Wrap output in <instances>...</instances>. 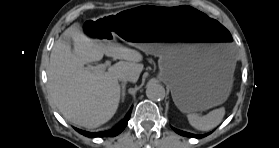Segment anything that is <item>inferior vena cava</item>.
Instances as JSON below:
<instances>
[{
    "instance_id": "obj_1",
    "label": "inferior vena cava",
    "mask_w": 279,
    "mask_h": 148,
    "mask_svg": "<svg viewBox=\"0 0 279 148\" xmlns=\"http://www.w3.org/2000/svg\"><path fill=\"white\" fill-rule=\"evenodd\" d=\"M119 80H120V81L126 82V81H130V78L127 77V76H120V77H119Z\"/></svg>"
}]
</instances>
